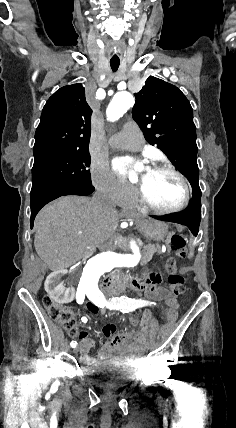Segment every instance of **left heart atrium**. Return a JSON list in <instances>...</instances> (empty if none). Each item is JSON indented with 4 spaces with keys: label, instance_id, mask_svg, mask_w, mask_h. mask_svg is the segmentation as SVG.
<instances>
[{
    "label": "left heart atrium",
    "instance_id": "39dd6f15",
    "mask_svg": "<svg viewBox=\"0 0 236 428\" xmlns=\"http://www.w3.org/2000/svg\"><path fill=\"white\" fill-rule=\"evenodd\" d=\"M130 162L127 160H118L114 163L115 169L120 173H125Z\"/></svg>",
    "mask_w": 236,
    "mask_h": 428
}]
</instances>
